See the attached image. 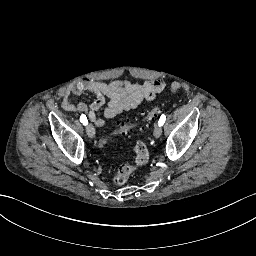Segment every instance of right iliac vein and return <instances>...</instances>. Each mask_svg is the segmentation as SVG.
Wrapping results in <instances>:
<instances>
[{"label": "right iliac vein", "mask_w": 256, "mask_h": 256, "mask_svg": "<svg viewBox=\"0 0 256 256\" xmlns=\"http://www.w3.org/2000/svg\"><path fill=\"white\" fill-rule=\"evenodd\" d=\"M86 132L89 138L95 137V128L91 123L87 125Z\"/></svg>", "instance_id": "63e3f726"}]
</instances>
